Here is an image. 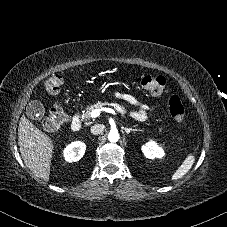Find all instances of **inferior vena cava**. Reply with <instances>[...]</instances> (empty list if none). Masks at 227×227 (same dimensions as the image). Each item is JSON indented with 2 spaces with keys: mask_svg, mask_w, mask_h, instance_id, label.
<instances>
[{
  "mask_svg": "<svg viewBox=\"0 0 227 227\" xmlns=\"http://www.w3.org/2000/svg\"><path fill=\"white\" fill-rule=\"evenodd\" d=\"M105 129V126L103 124H95L91 127V133L98 135L101 134Z\"/></svg>",
  "mask_w": 227,
  "mask_h": 227,
  "instance_id": "602c4592",
  "label": "inferior vena cava"
}]
</instances>
